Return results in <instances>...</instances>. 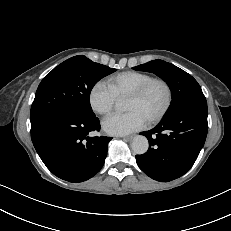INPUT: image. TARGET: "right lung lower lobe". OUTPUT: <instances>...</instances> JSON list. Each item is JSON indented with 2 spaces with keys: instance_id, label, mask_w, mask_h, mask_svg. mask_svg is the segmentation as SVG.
<instances>
[{
  "instance_id": "obj_1",
  "label": "right lung lower lobe",
  "mask_w": 231,
  "mask_h": 231,
  "mask_svg": "<svg viewBox=\"0 0 231 231\" xmlns=\"http://www.w3.org/2000/svg\"><path fill=\"white\" fill-rule=\"evenodd\" d=\"M100 130L96 116L57 113L31 128L33 145L46 167L69 182H83L98 173L107 156L111 137H89Z\"/></svg>"
}]
</instances>
